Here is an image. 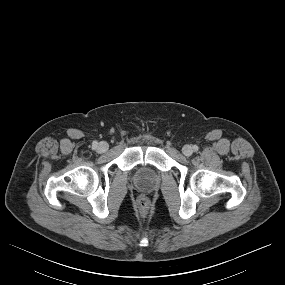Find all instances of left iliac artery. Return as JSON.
<instances>
[{"instance_id": "1", "label": "left iliac artery", "mask_w": 285, "mask_h": 285, "mask_svg": "<svg viewBox=\"0 0 285 285\" xmlns=\"http://www.w3.org/2000/svg\"><path fill=\"white\" fill-rule=\"evenodd\" d=\"M194 151H198L199 147L197 145L193 146Z\"/></svg>"}]
</instances>
